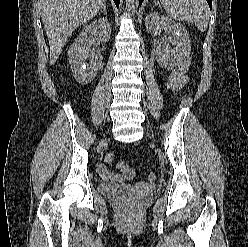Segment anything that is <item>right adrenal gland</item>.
<instances>
[{"instance_id":"right-adrenal-gland-1","label":"right adrenal gland","mask_w":248,"mask_h":247,"mask_svg":"<svg viewBox=\"0 0 248 247\" xmlns=\"http://www.w3.org/2000/svg\"><path fill=\"white\" fill-rule=\"evenodd\" d=\"M104 12V14L107 16V9H106V3L104 2V4L102 5V7H101V10H100V12Z\"/></svg>"}]
</instances>
